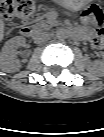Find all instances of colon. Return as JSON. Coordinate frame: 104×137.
Returning <instances> with one entry per match:
<instances>
[{"label": "colon", "mask_w": 104, "mask_h": 137, "mask_svg": "<svg viewBox=\"0 0 104 137\" xmlns=\"http://www.w3.org/2000/svg\"><path fill=\"white\" fill-rule=\"evenodd\" d=\"M0 10L2 15L9 21L26 24L29 23L35 11L34 0H1ZM82 19L94 23L92 44L101 47L104 41V16L97 6H90L81 12Z\"/></svg>", "instance_id": "1"}]
</instances>
